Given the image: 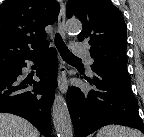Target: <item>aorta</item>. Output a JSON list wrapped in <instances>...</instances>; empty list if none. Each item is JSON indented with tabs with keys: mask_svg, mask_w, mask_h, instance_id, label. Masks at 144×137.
<instances>
[{
	"mask_svg": "<svg viewBox=\"0 0 144 137\" xmlns=\"http://www.w3.org/2000/svg\"><path fill=\"white\" fill-rule=\"evenodd\" d=\"M82 24L79 20L72 19L66 22V30L70 33L80 32ZM52 117L57 137H72L73 126L65 98L55 95L52 106Z\"/></svg>",
	"mask_w": 144,
	"mask_h": 137,
	"instance_id": "obj_1",
	"label": "aorta"
}]
</instances>
